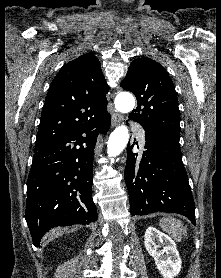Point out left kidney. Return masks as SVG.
I'll return each instance as SVG.
<instances>
[{
  "mask_svg": "<svg viewBox=\"0 0 221 278\" xmlns=\"http://www.w3.org/2000/svg\"><path fill=\"white\" fill-rule=\"evenodd\" d=\"M147 252L155 260L157 269L164 278H174L181 270V258L176 243L155 227H148L144 235ZM163 245V250L159 247Z\"/></svg>",
  "mask_w": 221,
  "mask_h": 278,
  "instance_id": "1",
  "label": "left kidney"
}]
</instances>
